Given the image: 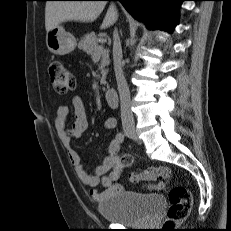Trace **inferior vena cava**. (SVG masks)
I'll use <instances>...</instances> for the list:
<instances>
[{
	"label": "inferior vena cava",
	"mask_w": 231,
	"mask_h": 231,
	"mask_svg": "<svg viewBox=\"0 0 231 231\" xmlns=\"http://www.w3.org/2000/svg\"><path fill=\"white\" fill-rule=\"evenodd\" d=\"M113 61L120 96L122 125L134 127L135 122L131 110L130 91L123 74L122 48L120 38L116 29L113 32Z\"/></svg>",
	"instance_id": "1"
}]
</instances>
